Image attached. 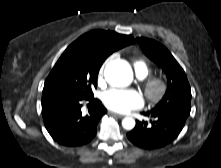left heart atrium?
Returning <instances> with one entry per match:
<instances>
[{
	"instance_id": "left-heart-atrium-1",
	"label": "left heart atrium",
	"mask_w": 221,
	"mask_h": 168,
	"mask_svg": "<svg viewBox=\"0 0 221 168\" xmlns=\"http://www.w3.org/2000/svg\"><path fill=\"white\" fill-rule=\"evenodd\" d=\"M102 100L108 109L119 113H128L144 104L142 95L129 89H109L103 94Z\"/></svg>"
}]
</instances>
